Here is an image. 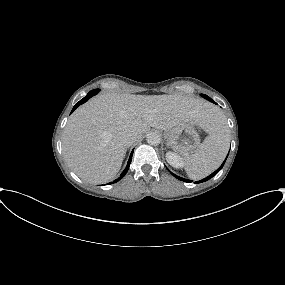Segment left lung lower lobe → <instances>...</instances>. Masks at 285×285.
<instances>
[{"label": "left lung lower lobe", "instance_id": "0a47b994", "mask_svg": "<svg viewBox=\"0 0 285 285\" xmlns=\"http://www.w3.org/2000/svg\"><path fill=\"white\" fill-rule=\"evenodd\" d=\"M225 160H226V159H225ZM224 163H225V161L223 162V164H222L215 172H213L212 174H210V175L207 176L206 178H204V179H202V180H200V181H197V182H195V183H202V182H205V181L211 179L213 176H215V175L222 169ZM172 174H173V173H172ZM173 176L176 177L177 179L181 180V181H185V182H188V183L191 182V180L184 179V178L179 177V176H177V175H175V174H173Z\"/></svg>", "mask_w": 285, "mask_h": 285}]
</instances>
